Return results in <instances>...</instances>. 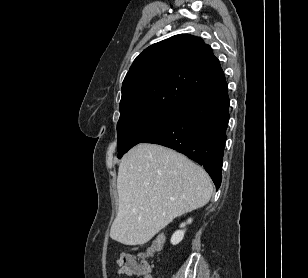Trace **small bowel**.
<instances>
[{"label": "small bowel", "mask_w": 308, "mask_h": 278, "mask_svg": "<svg viewBox=\"0 0 308 278\" xmlns=\"http://www.w3.org/2000/svg\"><path fill=\"white\" fill-rule=\"evenodd\" d=\"M118 273H119L120 275H124V272H123L121 269H119ZM142 278H153L152 275H151V268H150L149 265H147V271H146V273L142 276Z\"/></svg>", "instance_id": "c3829d8e"}]
</instances>
